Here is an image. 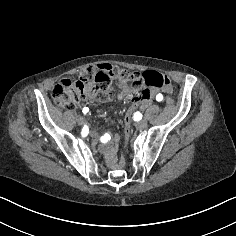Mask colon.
<instances>
[{
    "instance_id": "5ec220e1",
    "label": "colon",
    "mask_w": 236,
    "mask_h": 236,
    "mask_svg": "<svg viewBox=\"0 0 236 236\" xmlns=\"http://www.w3.org/2000/svg\"><path fill=\"white\" fill-rule=\"evenodd\" d=\"M121 83L144 84L146 89L131 100L130 107L125 112V138L130 137V122L132 114L150 92V89H162L170 86L167 76L156 71H145L140 74L119 69L109 64L86 65L81 68L79 77L75 80L63 79L53 89L52 98L60 108L71 110L78 103L96 93L109 92L114 84ZM171 103V100H168Z\"/></svg>"
}]
</instances>
